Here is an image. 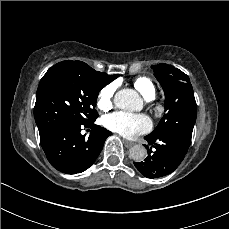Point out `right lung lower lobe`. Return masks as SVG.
<instances>
[{
	"label": "right lung lower lobe",
	"instance_id": "obj_1",
	"mask_svg": "<svg viewBox=\"0 0 229 229\" xmlns=\"http://www.w3.org/2000/svg\"><path fill=\"white\" fill-rule=\"evenodd\" d=\"M89 128L88 138L81 134L82 128ZM112 133L96 124L68 122L57 127L41 146L50 164L57 170L75 174L88 169L99 156L105 140Z\"/></svg>",
	"mask_w": 229,
	"mask_h": 229
}]
</instances>
